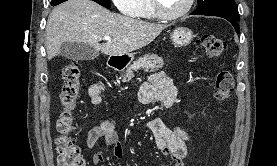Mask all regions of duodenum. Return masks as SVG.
Returning <instances> with one entry per match:
<instances>
[{"mask_svg":"<svg viewBox=\"0 0 277 166\" xmlns=\"http://www.w3.org/2000/svg\"><path fill=\"white\" fill-rule=\"evenodd\" d=\"M108 65L111 69H114V70L121 69V67H122V63L119 60L114 59V58H111L109 60Z\"/></svg>","mask_w":277,"mask_h":166,"instance_id":"duodenum-1","label":"duodenum"}]
</instances>
